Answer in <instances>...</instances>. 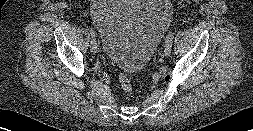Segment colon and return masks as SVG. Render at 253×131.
Instances as JSON below:
<instances>
[{
    "label": "colon",
    "instance_id": "1",
    "mask_svg": "<svg viewBox=\"0 0 253 131\" xmlns=\"http://www.w3.org/2000/svg\"><path fill=\"white\" fill-rule=\"evenodd\" d=\"M199 1L200 0H186V1L183 2V4H185V3H197ZM118 79H119V83H120L122 89L126 93H131L133 91L132 82L130 81V79L124 73L119 72Z\"/></svg>",
    "mask_w": 253,
    "mask_h": 131
}]
</instances>
